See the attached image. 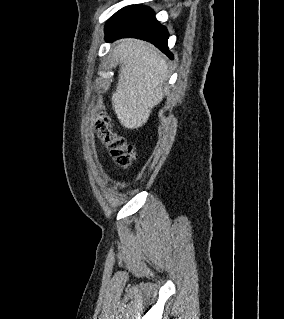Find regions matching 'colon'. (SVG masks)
<instances>
[{
    "mask_svg": "<svg viewBox=\"0 0 284 319\" xmlns=\"http://www.w3.org/2000/svg\"><path fill=\"white\" fill-rule=\"evenodd\" d=\"M93 127L98 139L108 149L115 164L123 169H128L135 158V148L112 130L107 117H96Z\"/></svg>",
    "mask_w": 284,
    "mask_h": 319,
    "instance_id": "1",
    "label": "colon"
}]
</instances>
